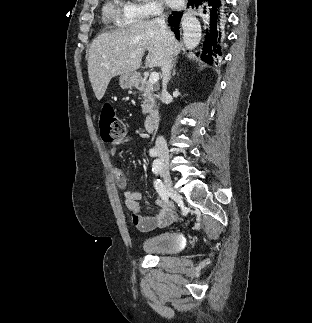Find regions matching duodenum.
Wrapping results in <instances>:
<instances>
[{
    "mask_svg": "<svg viewBox=\"0 0 312 323\" xmlns=\"http://www.w3.org/2000/svg\"><path fill=\"white\" fill-rule=\"evenodd\" d=\"M131 83L134 86L141 87L143 85V77L140 74H133L131 76ZM159 113L157 110L151 112L145 119L144 127L147 133H151L157 125Z\"/></svg>",
    "mask_w": 312,
    "mask_h": 323,
    "instance_id": "duodenum-1",
    "label": "duodenum"
}]
</instances>
